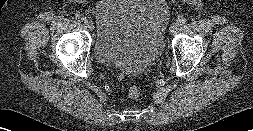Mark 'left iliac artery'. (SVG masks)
I'll return each mask as SVG.
<instances>
[{"label": "left iliac artery", "instance_id": "1", "mask_svg": "<svg viewBox=\"0 0 253 131\" xmlns=\"http://www.w3.org/2000/svg\"><path fill=\"white\" fill-rule=\"evenodd\" d=\"M187 22V19L185 18V17H183V16H180V17H178V19H177V23L179 24V25H183V24H185Z\"/></svg>", "mask_w": 253, "mask_h": 131}]
</instances>
